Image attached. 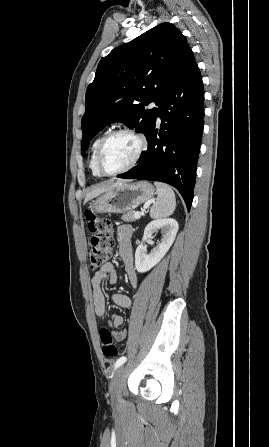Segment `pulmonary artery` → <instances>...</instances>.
Instances as JSON below:
<instances>
[{"label": "pulmonary artery", "mask_w": 269, "mask_h": 447, "mask_svg": "<svg viewBox=\"0 0 269 447\" xmlns=\"http://www.w3.org/2000/svg\"><path fill=\"white\" fill-rule=\"evenodd\" d=\"M149 107H150V108H154V107H156V105H155V103H151V104L149 105ZM158 121H159V117H158Z\"/></svg>", "instance_id": "obj_1"}]
</instances>
